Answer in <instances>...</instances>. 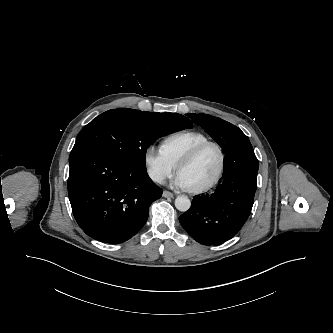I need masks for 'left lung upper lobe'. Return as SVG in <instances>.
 <instances>
[{"instance_id":"left-lung-upper-lobe-1","label":"left lung upper lobe","mask_w":333,"mask_h":333,"mask_svg":"<svg viewBox=\"0 0 333 333\" xmlns=\"http://www.w3.org/2000/svg\"><path fill=\"white\" fill-rule=\"evenodd\" d=\"M194 123L201 126L227 153L234 146L249 140L235 125L220 118L206 114H187Z\"/></svg>"}]
</instances>
